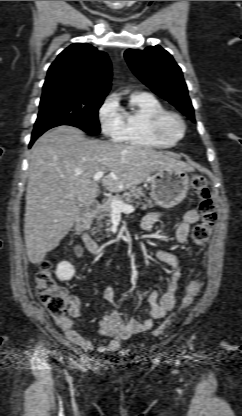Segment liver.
Wrapping results in <instances>:
<instances>
[{
  "label": "liver",
  "instance_id": "1",
  "mask_svg": "<svg viewBox=\"0 0 242 416\" xmlns=\"http://www.w3.org/2000/svg\"><path fill=\"white\" fill-rule=\"evenodd\" d=\"M163 167L192 170L186 163L152 148L87 139L72 126H58L34 144L29 162L24 236L31 263H40L79 219L77 201L88 204L99 194L97 172L111 192L144 182Z\"/></svg>",
  "mask_w": 242,
  "mask_h": 416
}]
</instances>
